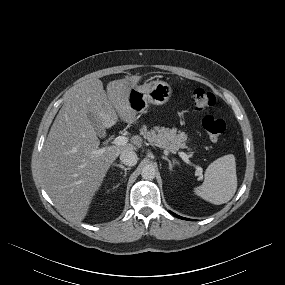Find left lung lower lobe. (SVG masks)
Wrapping results in <instances>:
<instances>
[{
    "label": "left lung lower lobe",
    "mask_w": 285,
    "mask_h": 285,
    "mask_svg": "<svg viewBox=\"0 0 285 285\" xmlns=\"http://www.w3.org/2000/svg\"><path fill=\"white\" fill-rule=\"evenodd\" d=\"M174 216H176L177 218H180V219H185V220H189V219H187V218H184V217H181V216H178V215H176L175 213H173V212H171Z\"/></svg>",
    "instance_id": "1"
}]
</instances>
